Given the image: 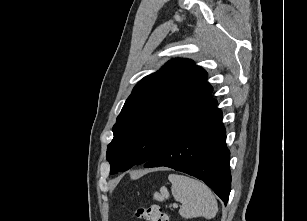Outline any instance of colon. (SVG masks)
<instances>
[{
    "instance_id": "colon-1",
    "label": "colon",
    "mask_w": 307,
    "mask_h": 221,
    "mask_svg": "<svg viewBox=\"0 0 307 221\" xmlns=\"http://www.w3.org/2000/svg\"><path fill=\"white\" fill-rule=\"evenodd\" d=\"M136 216L145 221H169L167 214L156 204L139 207L136 211Z\"/></svg>"
}]
</instances>
